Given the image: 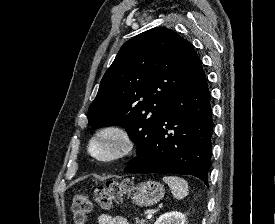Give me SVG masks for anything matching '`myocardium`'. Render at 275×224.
<instances>
[{
	"mask_svg": "<svg viewBox=\"0 0 275 224\" xmlns=\"http://www.w3.org/2000/svg\"><path fill=\"white\" fill-rule=\"evenodd\" d=\"M104 138H111L115 142L114 150L108 155L95 152L94 146ZM134 148V141L130 132L123 126L109 124L97 129L90 137L87 144L89 155L100 163H114L126 158Z\"/></svg>",
	"mask_w": 275,
	"mask_h": 224,
	"instance_id": "obj_1",
	"label": "myocardium"
}]
</instances>
